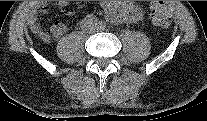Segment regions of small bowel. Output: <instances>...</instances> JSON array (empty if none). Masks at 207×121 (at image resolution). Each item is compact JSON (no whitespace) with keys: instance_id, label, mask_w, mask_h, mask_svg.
Wrapping results in <instances>:
<instances>
[{"instance_id":"1","label":"small bowel","mask_w":207,"mask_h":121,"mask_svg":"<svg viewBox=\"0 0 207 121\" xmlns=\"http://www.w3.org/2000/svg\"><path fill=\"white\" fill-rule=\"evenodd\" d=\"M59 7H66L67 1H59ZM102 8L105 11L106 18L111 22H134L141 17V11L133 2H102ZM49 7L42 3L36 6V10L30 16V28L38 35L43 41L48 42L51 36L43 31L37 22V14L47 13ZM67 30V25L62 22H55L51 27V32L55 37L63 35Z\"/></svg>"}]
</instances>
